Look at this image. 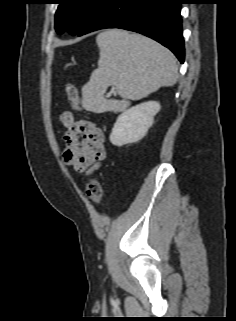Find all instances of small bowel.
<instances>
[{"instance_id": "small-bowel-1", "label": "small bowel", "mask_w": 236, "mask_h": 321, "mask_svg": "<svg viewBox=\"0 0 236 321\" xmlns=\"http://www.w3.org/2000/svg\"><path fill=\"white\" fill-rule=\"evenodd\" d=\"M65 132L63 160L77 170L90 173L99 168L106 159L104 133L96 123L76 120L73 113L65 111L60 115Z\"/></svg>"}]
</instances>
